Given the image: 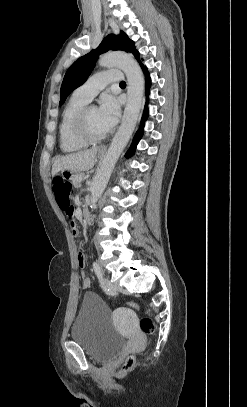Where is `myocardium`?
Segmentation results:
<instances>
[{"label": "myocardium", "mask_w": 247, "mask_h": 407, "mask_svg": "<svg viewBox=\"0 0 247 407\" xmlns=\"http://www.w3.org/2000/svg\"><path fill=\"white\" fill-rule=\"evenodd\" d=\"M94 108V106H84L76 115V118L74 120V132L76 136L84 141L87 144H95L98 142L103 141L105 138L109 136L111 133V130L109 129L107 132H105L102 135H93L87 125V113L88 111Z\"/></svg>", "instance_id": "1"}]
</instances>
